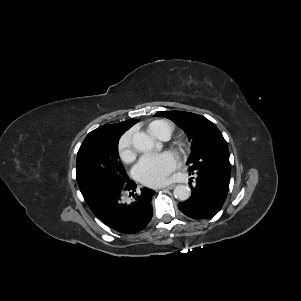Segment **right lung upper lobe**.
I'll use <instances>...</instances> for the list:
<instances>
[{"label":"right lung upper lobe","mask_w":301,"mask_h":301,"mask_svg":"<svg viewBox=\"0 0 301 301\" xmlns=\"http://www.w3.org/2000/svg\"><path fill=\"white\" fill-rule=\"evenodd\" d=\"M139 120L138 119H131L127 120L124 122L116 123V124H106L103 125L96 130L90 132L88 135L92 134H101L109 139L116 140L119 139V137L127 130L129 129L132 125L137 123Z\"/></svg>","instance_id":"right-lung-upper-lobe-1"}]
</instances>
